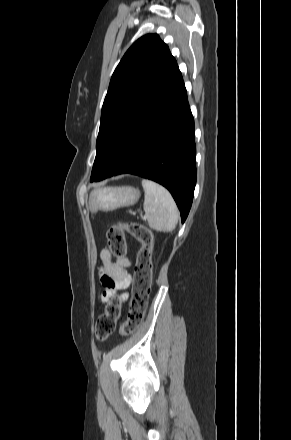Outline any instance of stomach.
<instances>
[{
	"mask_svg": "<svg viewBox=\"0 0 291 440\" xmlns=\"http://www.w3.org/2000/svg\"><path fill=\"white\" fill-rule=\"evenodd\" d=\"M140 197V191L131 186L102 187L90 193L88 207L92 213L112 211L120 207L134 205Z\"/></svg>",
	"mask_w": 291,
	"mask_h": 440,
	"instance_id": "1",
	"label": "stomach"
}]
</instances>
